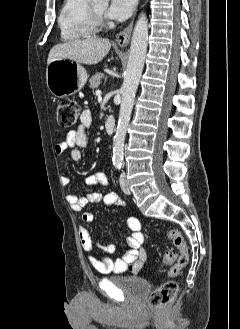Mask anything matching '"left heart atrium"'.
Listing matches in <instances>:
<instances>
[{
    "label": "left heart atrium",
    "instance_id": "obj_1",
    "mask_svg": "<svg viewBox=\"0 0 240 329\" xmlns=\"http://www.w3.org/2000/svg\"><path fill=\"white\" fill-rule=\"evenodd\" d=\"M136 0H110L106 16L112 20H126L134 9Z\"/></svg>",
    "mask_w": 240,
    "mask_h": 329
}]
</instances>
